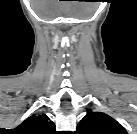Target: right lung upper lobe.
<instances>
[{
    "mask_svg": "<svg viewBox=\"0 0 137 134\" xmlns=\"http://www.w3.org/2000/svg\"><path fill=\"white\" fill-rule=\"evenodd\" d=\"M15 131L18 134H55V124L46 114H33L21 123Z\"/></svg>",
    "mask_w": 137,
    "mask_h": 134,
    "instance_id": "right-lung-upper-lobe-1",
    "label": "right lung upper lobe"
}]
</instances>
